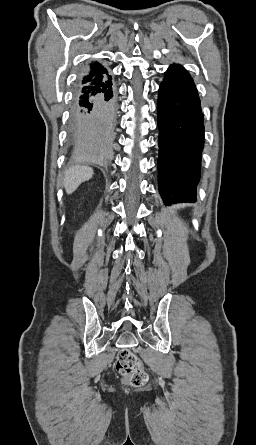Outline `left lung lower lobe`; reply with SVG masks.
<instances>
[{
    "label": "left lung lower lobe",
    "instance_id": "1",
    "mask_svg": "<svg viewBox=\"0 0 256 445\" xmlns=\"http://www.w3.org/2000/svg\"><path fill=\"white\" fill-rule=\"evenodd\" d=\"M158 182L166 205L193 202L204 144L203 115L190 74L171 65L159 87Z\"/></svg>",
    "mask_w": 256,
    "mask_h": 445
}]
</instances>
